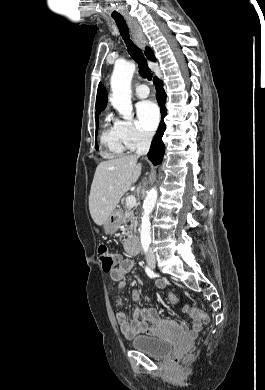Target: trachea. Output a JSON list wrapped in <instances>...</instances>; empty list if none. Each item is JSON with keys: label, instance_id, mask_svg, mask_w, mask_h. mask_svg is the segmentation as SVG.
<instances>
[{"label": "trachea", "instance_id": "trachea-1", "mask_svg": "<svg viewBox=\"0 0 265 390\" xmlns=\"http://www.w3.org/2000/svg\"><path fill=\"white\" fill-rule=\"evenodd\" d=\"M115 22L117 24V27L120 31L123 40L125 41L130 56L138 64L140 75L143 78H147L148 80H151L152 73L150 68L148 67L147 60L143 56L141 50L130 40L128 27L126 25L124 18H115Z\"/></svg>", "mask_w": 265, "mask_h": 390}]
</instances>
